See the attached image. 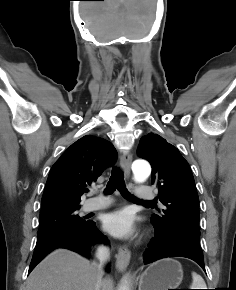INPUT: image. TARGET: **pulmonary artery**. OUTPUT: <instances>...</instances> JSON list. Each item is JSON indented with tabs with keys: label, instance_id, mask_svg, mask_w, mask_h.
Instances as JSON below:
<instances>
[{
	"label": "pulmonary artery",
	"instance_id": "pulmonary-artery-1",
	"mask_svg": "<svg viewBox=\"0 0 236 290\" xmlns=\"http://www.w3.org/2000/svg\"><path fill=\"white\" fill-rule=\"evenodd\" d=\"M136 198L140 201L153 200L156 196L155 191L152 188H138L136 189ZM111 201L105 197L91 198L87 200L83 205V210L86 212L95 211L106 208Z\"/></svg>",
	"mask_w": 236,
	"mask_h": 290
}]
</instances>
